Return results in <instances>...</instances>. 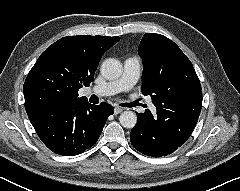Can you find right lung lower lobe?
Segmentation results:
<instances>
[{
    "label": "right lung lower lobe",
    "instance_id": "1",
    "mask_svg": "<svg viewBox=\"0 0 240 191\" xmlns=\"http://www.w3.org/2000/svg\"><path fill=\"white\" fill-rule=\"evenodd\" d=\"M114 109L107 103L62 101L27 112L42 142L54 153L78 155L92 147L100 137Z\"/></svg>",
    "mask_w": 240,
    "mask_h": 191
}]
</instances>
